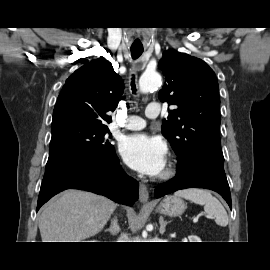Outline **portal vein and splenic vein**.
Here are the masks:
<instances>
[{
  "mask_svg": "<svg viewBox=\"0 0 270 270\" xmlns=\"http://www.w3.org/2000/svg\"><path fill=\"white\" fill-rule=\"evenodd\" d=\"M206 218H210L209 216H206ZM198 222V217H194L193 218V223H197Z\"/></svg>",
  "mask_w": 270,
  "mask_h": 270,
  "instance_id": "obj_1",
  "label": "portal vein and splenic vein"
}]
</instances>
